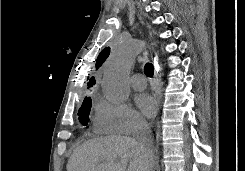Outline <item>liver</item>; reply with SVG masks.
I'll list each match as a JSON object with an SVG mask.
<instances>
[{
  "instance_id": "1",
  "label": "liver",
  "mask_w": 245,
  "mask_h": 171,
  "mask_svg": "<svg viewBox=\"0 0 245 171\" xmlns=\"http://www.w3.org/2000/svg\"><path fill=\"white\" fill-rule=\"evenodd\" d=\"M154 165V158H146L135 139L107 136L80 145L71 155L67 171H153Z\"/></svg>"
}]
</instances>
